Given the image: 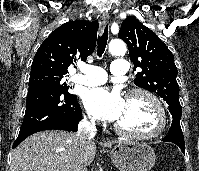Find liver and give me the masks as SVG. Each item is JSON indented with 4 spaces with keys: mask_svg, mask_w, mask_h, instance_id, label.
<instances>
[{
    "mask_svg": "<svg viewBox=\"0 0 199 171\" xmlns=\"http://www.w3.org/2000/svg\"><path fill=\"white\" fill-rule=\"evenodd\" d=\"M78 150L76 135L66 131H44L25 139L12 153L10 171H73ZM84 160L91 164L96 144L83 149Z\"/></svg>",
    "mask_w": 199,
    "mask_h": 171,
    "instance_id": "6515ba94",
    "label": "liver"
}]
</instances>
